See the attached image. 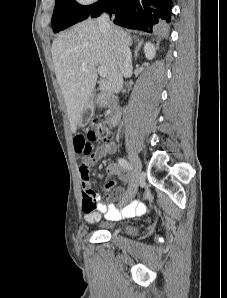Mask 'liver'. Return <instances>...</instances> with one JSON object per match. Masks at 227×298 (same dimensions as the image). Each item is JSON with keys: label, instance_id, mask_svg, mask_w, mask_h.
<instances>
[{"label": "liver", "instance_id": "obj_1", "mask_svg": "<svg viewBox=\"0 0 227 298\" xmlns=\"http://www.w3.org/2000/svg\"><path fill=\"white\" fill-rule=\"evenodd\" d=\"M116 38L104 33L98 21L88 19L59 34L51 47L55 75L61 88L72 133H76L84 110L97 83V66L107 70L99 82L102 92L119 93L123 87L117 57L116 39L129 47L132 38L118 27Z\"/></svg>", "mask_w": 227, "mask_h": 298}]
</instances>
